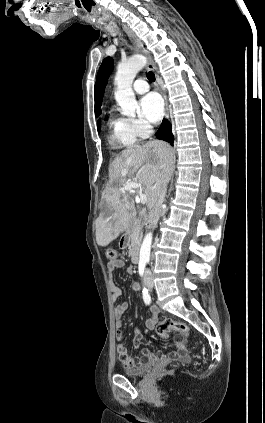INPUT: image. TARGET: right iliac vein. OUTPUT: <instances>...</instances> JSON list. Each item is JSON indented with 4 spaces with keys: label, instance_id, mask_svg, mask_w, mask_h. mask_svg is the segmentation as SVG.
I'll use <instances>...</instances> for the list:
<instances>
[{
    "label": "right iliac vein",
    "instance_id": "right-iliac-vein-1",
    "mask_svg": "<svg viewBox=\"0 0 265 423\" xmlns=\"http://www.w3.org/2000/svg\"><path fill=\"white\" fill-rule=\"evenodd\" d=\"M145 285H146V287H148V288H150L152 285H151V283L150 282H148V281H145Z\"/></svg>",
    "mask_w": 265,
    "mask_h": 423
}]
</instances>
